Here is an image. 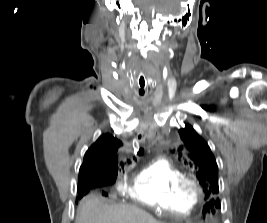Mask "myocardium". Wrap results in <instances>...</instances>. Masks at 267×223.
<instances>
[{"label": "myocardium", "instance_id": "1", "mask_svg": "<svg viewBox=\"0 0 267 223\" xmlns=\"http://www.w3.org/2000/svg\"><path fill=\"white\" fill-rule=\"evenodd\" d=\"M180 189L186 196L196 201L204 195L201 183L193 177H185L180 182Z\"/></svg>", "mask_w": 267, "mask_h": 223}]
</instances>
